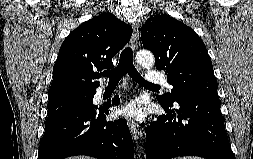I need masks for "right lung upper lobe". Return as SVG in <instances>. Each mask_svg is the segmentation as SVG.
Here are the masks:
<instances>
[{"instance_id": "cb5924a9", "label": "right lung upper lobe", "mask_w": 253, "mask_h": 159, "mask_svg": "<svg viewBox=\"0 0 253 159\" xmlns=\"http://www.w3.org/2000/svg\"><path fill=\"white\" fill-rule=\"evenodd\" d=\"M132 28L111 13H102L72 31L53 68L51 100L95 93L96 71L112 68V58L126 45Z\"/></svg>"}]
</instances>
